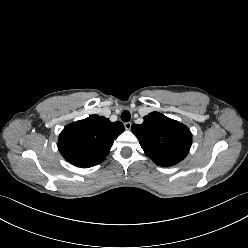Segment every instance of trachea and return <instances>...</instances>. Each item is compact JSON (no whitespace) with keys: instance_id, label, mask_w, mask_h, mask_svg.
I'll use <instances>...</instances> for the list:
<instances>
[{"instance_id":"3493384b","label":"trachea","mask_w":248,"mask_h":248,"mask_svg":"<svg viewBox=\"0 0 248 248\" xmlns=\"http://www.w3.org/2000/svg\"><path fill=\"white\" fill-rule=\"evenodd\" d=\"M121 119L124 122H128L131 119V114L128 111H123L121 114Z\"/></svg>"}]
</instances>
